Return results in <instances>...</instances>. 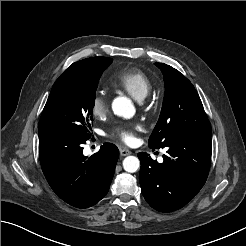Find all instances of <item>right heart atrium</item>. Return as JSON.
I'll list each match as a JSON object with an SVG mask.
<instances>
[{"label": "right heart atrium", "mask_w": 246, "mask_h": 246, "mask_svg": "<svg viewBox=\"0 0 246 246\" xmlns=\"http://www.w3.org/2000/svg\"><path fill=\"white\" fill-rule=\"evenodd\" d=\"M109 111V100L103 93H97L91 103V113L97 119L104 118Z\"/></svg>", "instance_id": "obj_1"}]
</instances>
